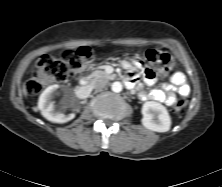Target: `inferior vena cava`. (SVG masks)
I'll list each match as a JSON object with an SVG mask.
<instances>
[{
  "label": "inferior vena cava",
  "mask_w": 222,
  "mask_h": 187,
  "mask_svg": "<svg viewBox=\"0 0 222 187\" xmlns=\"http://www.w3.org/2000/svg\"><path fill=\"white\" fill-rule=\"evenodd\" d=\"M108 84V81L104 78H96L92 81V87L95 89H102L106 87Z\"/></svg>",
  "instance_id": "1"
}]
</instances>
